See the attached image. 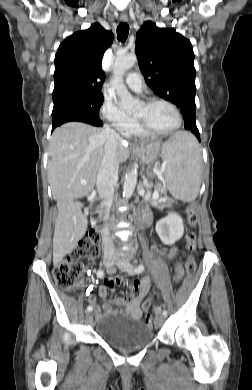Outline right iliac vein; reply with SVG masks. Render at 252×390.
<instances>
[{
    "mask_svg": "<svg viewBox=\"0 0 252 390\" xmlns=\"http://www.w3.org/2000/svg\"><path fill=\"white\" fill-rule=\"evenodd\" d=\"M114 262H115V258H114L113 256L105 257L104 260H103V264H104V266H105L108 270H110V269L112 268ZM86 321H87L88 323H90V322L92 321V314L89 313V312L86 314Z\"/></svg>",
    "mask_w": 252,
    "mask_h": 390,
    "instance_id": "63e3f726",
    "label": "right iliac vein"
}]
</instances>
